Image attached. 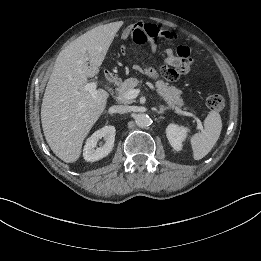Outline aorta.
<instances>
[{
  "instance_id": "aorta-1",
  "label": "aorta",
  "mask_w": 261,
  "mask_h": 261,
  "mask_svg": "<svg viewBox=\"0 0 261 261\" xmlns=\"http://www.w3.org/2000/svg\"><path fill=\"white\" fill-rule=\"evenodd\" d=\"M135 122L138 127L144 128L150 124V117L147 114L140 113L135 117Z\"/></svg>"
}]
</instances>
